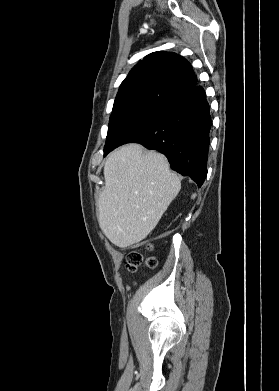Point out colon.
<instances>
[{"instance_id": "5ec220e1", "label": "colon", "mask_w": 279, "mask_h": 391, "mask_svg": "<svg viewBox=\"0 0 279 391\" xmlns=\"http://www.w3.org/2000/svg\"><path fill=\"white\" fill-rule=\"evenodd\" d=\"M143 264L155 267L157 261L154 258L145 259L144 255L137 250H132L128 253L126 257V267L129 271H135Z\"/></svg>"}]
</instances>
